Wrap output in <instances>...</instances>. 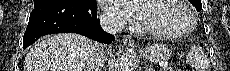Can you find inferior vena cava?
<instances>
[{"instance_id": "602c4592", "label": "inferior vena cava", "mask_w": 230, "mask_h": 71, "mask_svg": "<svg viewBox=\"0 0 230 71\" xmlns=\"http://www.w3.org/2000/svg\"><path fill=\"white\" fill-rule=\"evenodd\" d=\"M101 27L110 34H117L124 29V24L106 15L100 16ZM105 64V53L103 48L95 43L86 59L85 71H102Z\"/></svg>"}]
</instances>
